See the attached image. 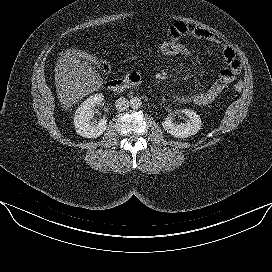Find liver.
<instances>
[{
	"label": "liver",
	"instance_id": "obj_1",
	"mask_svg": "<svg viewBox=\"0 0 272 272\" xmlns=\"http://www.w3.org/2000/svg\"><path fill=\"white\" fill-rule=\"evenodd\" d=\"M103 84L100 74L74 54L59 57L55 67V86L61 106L68 110Z\"/></svg>",
	"mask_w": 272,
	"mask_h": 272
}]
</instances>
